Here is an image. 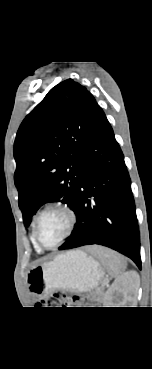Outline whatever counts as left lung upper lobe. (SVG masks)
I'll use <instances>...</instances> for the list:
<instances>
[{"instance_id": "5c2ea615", "label": "left lung upper lobe", "mask_w": 152, "mask_h": 369, "mask_svg": "<svg viewBox=\"0 0 152 369\" xmlns=\"http://www.w3.org/2000/svg\"><path fill=\"white\" fill-rule=\"evenodd\" d=\"M93 95L72 79L53 87L20 125L14 174L25 227L46 202L74 212L82 155L100 110Z\"/></svg>"}]
</instances>
